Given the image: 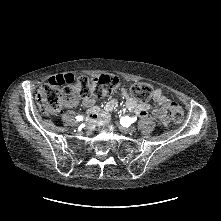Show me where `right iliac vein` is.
Wrapping results in <instances>:
<instances>
[{
    "label": "right iliac vein",
    "instance_id": "obj_1",
    "mask_svg": "<svg viewBox=\"0 0 221 221\" xmlns=\"http://www.w3.org/2000/svg\"><path fill=\"white\" fill-rule=\"evenodd\" d=\"M72 126H73V128H76V129H77V128L79 127V124H78L77 122H75V123H73Z\"/></svg>",
    "mask_w": 221,
    "mask_h": 221
}]
</instances>
